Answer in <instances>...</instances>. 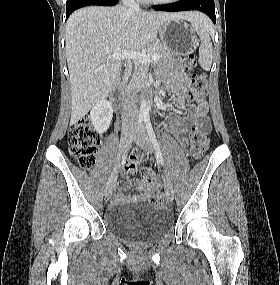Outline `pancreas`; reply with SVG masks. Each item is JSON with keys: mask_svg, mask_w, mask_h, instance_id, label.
<instances>
[{"mask_svg": "<svg viewBox=\"0 0 280 285\" xmlns=\"http://www.w3.org/2000/svg\"><path fill=\"white\" fill-rule=\"evenodd\" d=\"M154 53L160 56L159 59H166L173 54V52L168 47L159 42L155 43L148 51L149 55H152ZM147 72L148 66L146 64L136 62L134 64L133 72L130 75L129 82H127V87L137 90L141 89L147 81Z\"/></svg>", "mask_w": 280, "mask_h": 285, "instance_id": "cf45deb5", "label": "pancreas"}]
</instances>
